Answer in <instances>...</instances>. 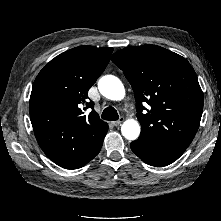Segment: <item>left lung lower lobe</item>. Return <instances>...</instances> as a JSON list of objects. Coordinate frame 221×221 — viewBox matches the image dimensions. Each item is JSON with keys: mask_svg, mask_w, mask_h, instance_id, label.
Masks as SVG:
<instances>
[{"mask_svg": "<svg viewBox=\"0 0 221 221\" xmlns=\"http://www.w3.org/2000/svg\"><path fill=\"white\" fill-rule=\"evenodd\" d=\"M130 147L141 160L156 167L173 163L186 150L176 146L142 139L132 142Z\"/></svg>", "mask_w": 221, "mask_h": 221, "instance_id": "left-lung-lower-lobe-1", "label": "left lung lower lobe"}]
</instances>
